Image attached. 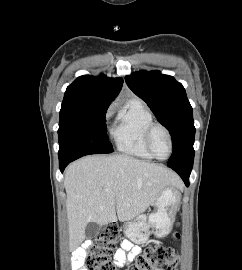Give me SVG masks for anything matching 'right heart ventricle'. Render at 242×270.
<instances>
[{"mask_svg":"<svg viewBox=\"0 0 242 270\" xmlns=\"http://www.w3.org/2000/svg\"><path fill=\"white\" fill-rule=\"evenodd\" d=\"M153 122L152 113L141 101H129L118 112L111 128L117 149L138 158L153 159L144 143L146 129Z\"/></svg>","mask_w":242,"mask_h":270,"instance_id":"1","label":"right heart ventricle"}]
</instances>
